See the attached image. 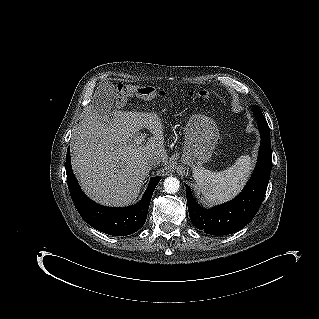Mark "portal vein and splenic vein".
I'll list each match as a JSON object with an SVG mask.
<instances>
[{
	"instance_id": "obj_1",
	"label": "portal vein and splenic vein",
	"mask_w": 319,
	"mask_h": 319,
	"mask_svg": "<svg viewBox=\"0 0 319 319\" xmlns=\"http://www.w3.org/2000/svg\"><path fill=\"white\" fill-rule=\"evenodd\" d=\"M144 139H145V135H141V136L136 137L133 142L136 145H140L142 143V141H144Z\"/></svg>"
}]
</instances>
